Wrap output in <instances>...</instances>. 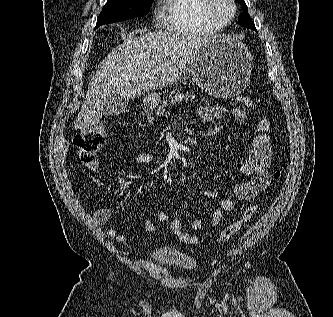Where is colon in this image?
Wrapping results in <instances>:
<instances>
[{"label":"colon","instance_id":"1","mask_svg":"<svg viewBox=\"0 0 333 317\" xmlns=\"http://www.w3.org/2000/svg\"><path fill=\"white\" fill-rule=\"evenodd\" d=\"M239 103L245 108H252L253 101L248 96H241ZM105 141L104 132L100 128H92L84 131L82 134L73 139L74 146L76 147L77 154L83 163L90 164L94 161L96 153L101 149ZM280 171L274 173V179H279ZM257 205L252 204L248 206L241 218L235 223L224 228L216 238L217 242H225L234 237L257 212ZM169 227L179 236V238L190 244L199 243V239L182 230L179 221L173 217L167 223Z\"/></svg>","mask_w":333,"mask_h":317}]
</instances>
